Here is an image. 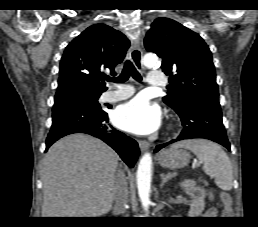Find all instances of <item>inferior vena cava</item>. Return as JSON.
<instances>
[{"label": "inferior vena cava", "mask_w": 258, "mask_h": 227, "mask_svg": "<svg viewBox=\"0 0 258 227\" xmlns=\"http://www.w3.org/2000/svg\"><path fill=\"white\" fill-rule=\"evenodd\" d=\"M127 199H128L127 181L124 173L119 171L118 174L116 175L114 201H115V208L121 214H125L126 212Z\"/></svg>", "instance_id": "inferior-vena-cava-1"}]
</instances>
